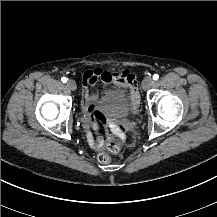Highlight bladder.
<instances>
[{"mask_svg": "<svg viewBox=\"0 0 217 217\" xmlns=\"http://www.w3.org/2000/svg\"><path fill=\"white\" fill-rule=\"evenodd\" d=\"M134 102L128 100L125 96L109 95L99 103L98 109L108 116L115 118L117 116L128 115L133 109Z\"/></svg>", "mask_w": 217, "mask_h": 217, "instance_id": "obj_1", "label": "bladder"}]
</instances>
